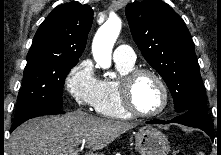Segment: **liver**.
<instances>
[{
	"label": "liver",
	"mask_w": 221,
	"mask_h": 155,
	"mask_svg": "<svg viewBox=\"0 0 221 155\" xmlns=\"http://www.w3.org/2000/svg\"><path fill=\"white\" fill-rule=\"evenodd\" d=\"M136 126V123L97 118L81 110L61 117L34 118L12 133L10 151L11 155H70L85 142L90 149L88 155H94Z\"/></svg>",
	"instance_id": "liver-1"
}]
</instances>
